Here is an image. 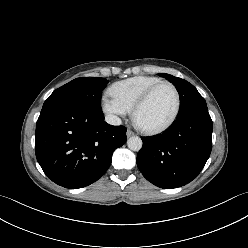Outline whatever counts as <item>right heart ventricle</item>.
<instances>
[{
    "instance_id": "e07e8e85",
    "label": "right heart ventricle",
    "mask_w": 248,
    "mask_h": 248,
    "mask_svg": "<svg viewBox=\"0 0 248 248\" xmlns=\"http://www.w3.org/2000/svg\"><path fill=\"white\" fill-rule=\"evenodd\" d=\"M160 81L161 79L154 76H135L114 83L111 86V93L117 100L131 110L142 94L152 85Z\"/></svg>"
}]
</instances>
